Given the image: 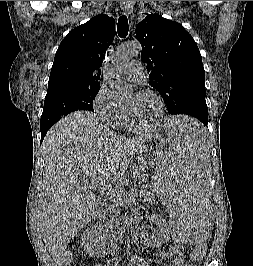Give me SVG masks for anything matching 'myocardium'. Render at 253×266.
<instances>
[{
	"label": "myocardium",
	"instance_id": "myocardium-1",
	"mask_svg": "<svg viewBox=\"0 0 253 266\" xmlns=\"http://www.w3.org/2000/svg\"><path fill=\"white\" fill-rule=\"evenodd\" d=\"M137 94L141 95H150L154 97L158 103L159 106V112L156 117V119L147 125H139L135 122V120L132 118V116L127 112V122L130 128L136 130V131H145V130H151L159 126L163 120L164 114H165V103L162 99V97L154 90L145 89L139 91Z\"/></svg>",
	"mask_w": 253,
	"mask_h": 266
}]
</instances>
